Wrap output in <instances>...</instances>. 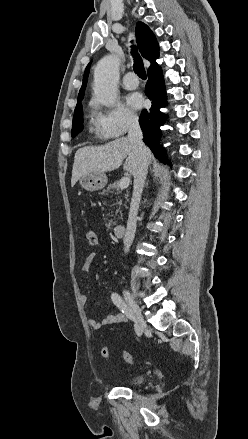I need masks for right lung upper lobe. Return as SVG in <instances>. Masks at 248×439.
I'll use <instances>...</instances> for the list:
<instances>
[{
    "label": "right lung upper lobe",
    "mask_w": 248,
    "mask_h": 439,
    "mask_svg": "<svg viewBox=\"0 0 248 439\" xmlns=\"http://www.w3.org/2000/svg\"><path fill=\"white\" fill-rule=\"evenodd\" d=\"M136 37L141 55L151 62V66L149 69L157 67L156 59L158 58L159 55V46L153 32L146 24L142 22H138L136 25ZM89 66L90 64L86 67L84 72L83 83L79 91L78 101L75 111L82 107L81 101L84 97V91L87 84V79L89 75Z\"/></svg>",
    "instance_id": "right-lung-upper-lobe-1"
}]
</instances>
